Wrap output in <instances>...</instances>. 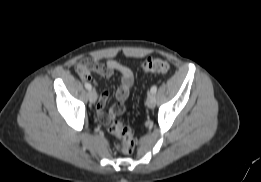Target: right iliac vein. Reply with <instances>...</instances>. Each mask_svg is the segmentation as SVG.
<instances>
[{
	"mask_svg": "<svg viewBox=\"0 0 261 182\" xmlns=\"http://www.w3.org/2000/svg\"><path fill=\"white\" fill-rule=\"evenodd\" d=\"M88 99L91 103H95L97 100V93L95 90H90L88 92Z\"/></svg>",
	"mask_w": 261,
	"mask_h": 182,
	"instance_id": "1",
	"label": "right iliac vein"
}]
</instances>
